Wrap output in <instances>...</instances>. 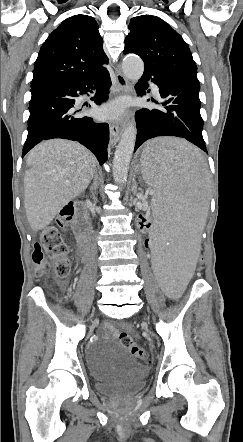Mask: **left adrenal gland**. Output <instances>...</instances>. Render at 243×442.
I'll list each match as a JSON object with an SVG mask.
<instances>
[{"mask_svg": "<svg viewBox=\"0 0 243 442\" xmlns=\"http://www.w3.org/2000/svg\"><path fill=\"white\" fill-rule=\"evenodd\" d=\"M133 187L135 188V190L137 189V183H136L135 178H133Z\"/></svg>", "mask_w": 243, "mask_h": 442, "instance_id": "left-adrenal-gland-1", "label": "left adrenal gland"}]
</instances>
